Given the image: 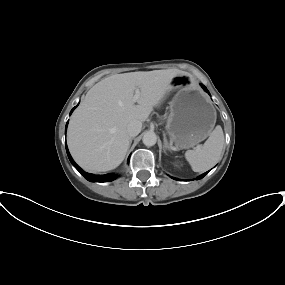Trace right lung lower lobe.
Instances as JSON below:
<instances>
[{
    "label": "right lung lower lobe",
    "instance_id": "right-lung-lower-lobe-1",
    "mask_svg": "<svg viewBox=\"0 0 285 285\" xmlns=\"http://www.w3.org/2000/svg\"><path fill=\"white\" fill-rule=\"evenodd\" d=\"M77 106H75L70 114L72 113V111L76 108ZM68 124V122H67ZM67 124H66V128H67ZM66 151H67V155L69 157V160L70 162L72 163V165L83 175V177L85 179H87L88 181H91V182H109V181H113L114 179H116V176L113 175V174H106V175H94V174H90V173H87L85 171H83L75 162L74 160L72 159L69 151H68V148H67V145H66Z\"/></svg>",
    "mask_w": 285,
    "mask_h": 285
}]
</instances>
